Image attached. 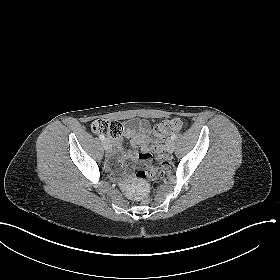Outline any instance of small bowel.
Wrapping results in <instances>:
<instances>
[{"label":"small bowel","mask_w":280,"mask_h":280,"mask_svg":"<svg viewBox=\"0 0 280 280\" xmlns=\"http://www.w3.org/2000/svg\"><path fill=\"white\" fill-rule=\"evenodd\" d=\"M150 123L145 119L129 120L123 127L122 133L113 140L114 148L108 154L111 162L115 154L120 153V162H145L150 158L151 142L149 139ZM124 138H130L133 149L125 151Z\"/></svg>","instance_id":"1"}]
</instances>
